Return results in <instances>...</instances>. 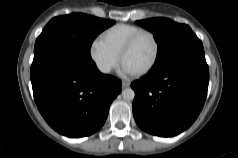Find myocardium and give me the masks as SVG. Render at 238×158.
<instances>
[{
  "label": "myocardium",
  "mask_w": 238,
  "mask_h": 158,
  "mask_svg": "<svg viewBox=\"0 0 238 158\" xmlns=\"http://www.w3.org/2000/svg\"><path fill=\"white\" fill-rule=\"evenodd\" d=\"M144 35H148L152 38V40L155 44V53H154V56H153V59L151 60V62L146 67H144L143 69L136 72V74H139V75L146 74L149 71H151L159 59L161 46H160V42H159L157 36L152 31L142 30V31L136 33L135 35H133L128 40V42L124 45V47L122 48V50L120 52V60H121V62H123L125 55L135 46V44L138 42V40Z\"/></svg>",
  "instance_id": "myocardium-1"
}]
</instances>
